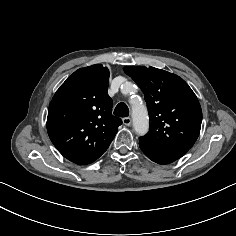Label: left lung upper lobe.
<instances>
[{"instance_id": "left-lung-upper-lobe-1", "label": "left lung upper lobe", "mask_w": 236, "mask_h": 236, "mask_svg": "<svg viewBox=\"0 0 236 236\" xmlns=\"http://www.w3.org/2000/svg\"><path fill=\"white\" fill-rule=\"evenodd\" d=\"M144 93L150 129L139 143L155 148L190 149L201 128L202 110L189 85L179 76L154 67L123 68Z\"/></svg>"}]
</instances>
